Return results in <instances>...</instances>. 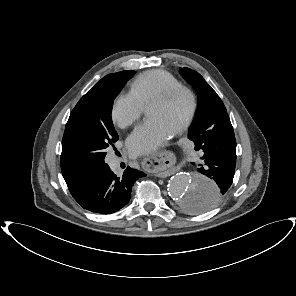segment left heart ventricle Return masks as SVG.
I'll return each instance as SVG.
<instances>
[{
    "mask_svg": "<svg viewBox=\"0 0 296 296\" xmlns=\"http://www.w3.org/2000/svg\"><path fill=\"white\" fill-rule=\"evenodd\" d=\"M189 109V101L186 96L180 95L171 102L163 104H151L147 106L148 117L158 118L175 130L183 121Z\"/></svg>",
    "mask_w": 296,
    "mask_h": 296,
    "instance_id": "b2bd125f",
    "label": "left heart ventricle"
}]
</instances>
